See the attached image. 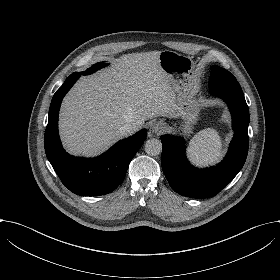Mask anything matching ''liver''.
Wrapping results in <instances>:
<instances>
[{
	"label": "liver",
	"instance_id": "obj_1",
	"mask_svg": "<svg viewBox=\"0 0 280 280\" xmlns=\"http://www.w3.org/2000/svg\"><path fill=\"white\" fill-rule=\"evenodd\" d=\"M160 51L127 53L81 76L63 98L58 132L74 157L98 158L120 139L127 123L140 129L154 117L176 118V98L159 67Z\"/></svg>",
	"mask_w": 280,
	"mask_h": 280
}]
</instances>
